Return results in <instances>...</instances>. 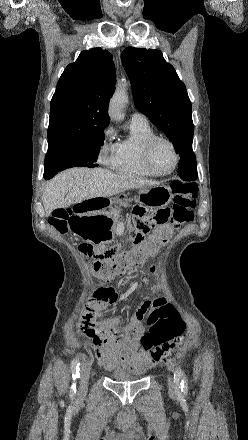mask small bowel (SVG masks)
Wrapping results in <instances>:
<instances>
[{"instance_id":"obj_1","label":"small bowel","mask_w":248,"mask_h":440,"mask_svg":"<svg viewBox=\"0 0 248 440\" xmlns=\"http://www.w3.org/2000/svg\"><path fill=\"white\" fill-rule=\"evenodd\" d=\"M155 271L156 268H153L152 272ZM154 281L156 284L153 287L157 290L162 280L157 277ZM116 301L117 294L114 291L111 299L99 298L85 308L77 322V332L88 339V345L94 351L102 367L112 369L124 366L133 371H145L150 367L152 359L150 352L139 350V345L145 333L144 320L149 311L154 308V302H143L131 319L124 323L118 316H105L109 305ZM156 301L166 302L161 296H158ZM97 316H104V318L96 322Z\"/></svg>"}]
</instances>
